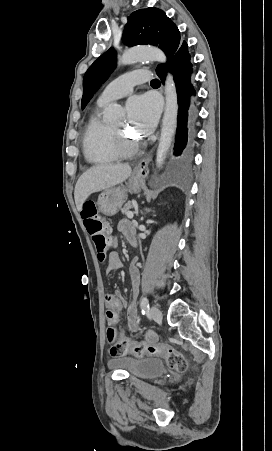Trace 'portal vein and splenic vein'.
I'll list each match as a JSON object with an SVG mask.
<instances>
[{
  "label": "portal vein and splenic vein",
  "instance_id": "portal-vein-and-splenic-vein-1",
  "mask_svg": "<svg viewBox=\"0 0 272 451\" xmlns=\"http://www.w3.org/2000/svg\"><path fill=\"white\" fill-rule=\"evenodd\" d=\"M133 216H134L133 212H128L127 218H130V220H131V218H133Z\"/></svg>",
  "mask_w": 272,
  "mask_h": 451
}]
</instances>
